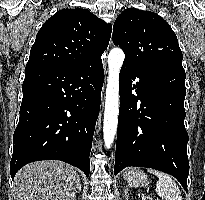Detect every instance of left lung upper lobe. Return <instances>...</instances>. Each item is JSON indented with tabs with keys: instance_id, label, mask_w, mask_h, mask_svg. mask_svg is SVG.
<instances>
[{
	"instance_id": "left-lung-upper-lobe-1",
	"label": "left lung upper lobe",
	"mask_w": 205,
	"mask_h": 200,
	"mask_svg": "<svg viewBox=\"0 0 205 200\" xmlns=\"http://www.w3.org/2000/svg\"><path fill=\"white\" fill-rule=\"evenodd\" d=\"M113 43L125 53L123 66L136 70L176 63L183 55L169 24L158 14L129 8L116 19Z\"/></svg>"
}]
</instances>
